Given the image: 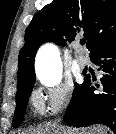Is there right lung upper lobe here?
I'll list each match as a JSON object with an SVG mask.
<instances>
[{
  "mask_svg": "<svg viewBox=\"0 0 116 134\" xmlns=\"http://www.w3.org/2000/svg\"><path fill=\"white\" fill-rule=\"evenodd\" d=\"M83 35L90 53L116 38L115 0H53L26 29L18 58L17 94L35 81L34 60L46 42L65 45Z\"/></svg>",
  "mask_w": 116,
  "mask_h": 134,
  "instance_id": "cb5924a9",
  "label": "right lung upper lobe"
}]
</instances>
